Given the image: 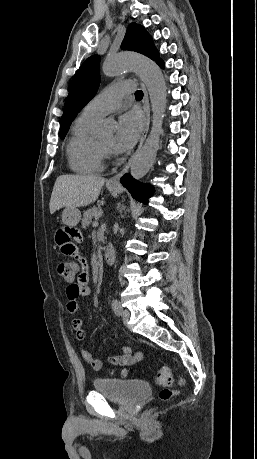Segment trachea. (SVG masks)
<instances>
[{
    "instance_id": "3493384b",
    "label": "trachea",
    "mask_w": 257,
    "mask_h": 459,
    "mask_svg": "<svg viewBox=\"0 0 257 459\" xmlns=\"http://www.w3.org/2000/svg\"><path fill=\"white\" fill-rule=\"evenodd\" d=\"M135 97L137 99H142L143 98V92L141 90L136 91Z\"/></svg>"
}]
</instances>
